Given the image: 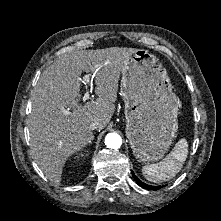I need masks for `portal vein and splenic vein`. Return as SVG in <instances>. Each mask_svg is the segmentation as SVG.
Here are the masks:
<instances>
[{
    "label": "portal vein and splenic vein",
    "instance_id": "obj_1",
    "mask_svg": "<svg viewBox=\"0 0 221 221\" xmlns=\"http://www.w3.org/2000/svg\"><path fill=\"white\" fill-rule=\"evenodd\" d=\"M93 76H94V75H93ZM93 76H92V77H93ZM83 82H85L86 84H88V85L90 86V89H92V82L90 81V76H89V75H85V76L83 77ZM89 96H90L89 91H87V92L85 93V95L83 96L82 101H83V102H86V101L89 99ZM64 113H65V114H69L68 111H64Z\"/></svg>",
    "mask_w": 221,
    "mask_h": 221
}]
</instances>
